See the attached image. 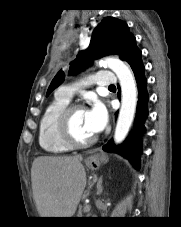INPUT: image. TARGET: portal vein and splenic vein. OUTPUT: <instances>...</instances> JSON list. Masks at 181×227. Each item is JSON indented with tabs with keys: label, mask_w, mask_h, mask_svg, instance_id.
Listing matches in <instances>:
<instances>
[{
	"label": "portal vein and splenic vein",
	"mask_w": 181,
	"mask_h": 227,
	"mask_svg": "<svg viewBox=\"0 0 181 227\" xmlns=\"http://www.w3.org/2000/svg\"><path fill=\"white\" fill-rule=\"evenodd\" d=\"M91 206L89 204L85 205V209L90 210Z\"/></svg>",
	"instance_id": "obj_1"
}]
</instances>
